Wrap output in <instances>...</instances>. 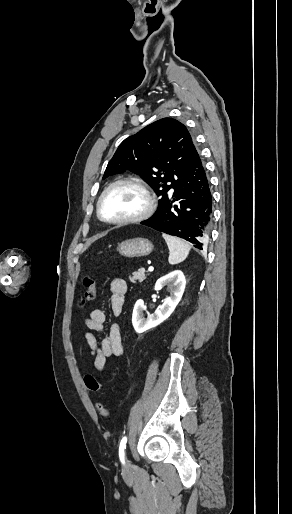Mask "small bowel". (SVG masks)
Returning a JSON list of instances; mask_svg holds the SVG:
<instances>
[{
	"label": "small bowel",
	"instance_id": "1",
	"mask_svg": "<svg viewBox=\"0 0 292 514\" xmlns=\"http://www.w3.org/2000/svg\"><path fill=\"white\" fill-rule=\"evenodd\" d=\"M110 307L114 315H119L124 306V298L127 293V284L121 278L111 280ZM106 313L102 309H93L84 320L86 327L91 331L103 333L105 328ZM82 337L88 348L91 362L94 368L103 372L107 359L120 357L124 353V346L121 339V331L118 323H112L107 329V334L102 339H97L90 331H84Z\"/></svg>",
	"mask_w": 292,
	"mask_h": 514
}]
</instances>
